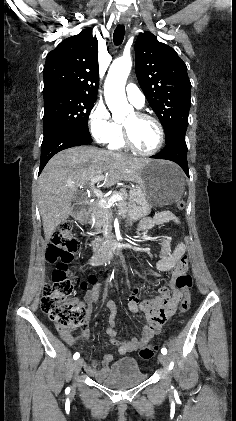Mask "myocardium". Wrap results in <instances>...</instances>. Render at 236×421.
I'll list each match as a JSON object with an SVG mask.
<instances>
[{
	"label": "myocardium",
	"mask_w": 236,
	"mask_h": 421,
	"mask_svg": "<svg viewBox=\"0 0 236 421\" xmlns=\"http://www.w3.org/2000/svg\"><path fill=\"white\" fill-rule=\"evenodd\" d=\"M135 114L138 118L149 120L150 122H152L156 126V129H157V132H158L157 144L154 147V149H152L150 151H142V150L138 149L134 145V143L132 142L127 128L124 125H122V137H123L124 145L128 149L133 151L134 153H136L138 155H141V156L156 155L161 150V148L164 144V140H165V132H164V128H163L162 124L159 122V120H157L155 117H153L149 114H146V113H143V112H140V111H136Z\"/></svg>",
	"instance_id": "myocardium-1"
}]
</instances>
